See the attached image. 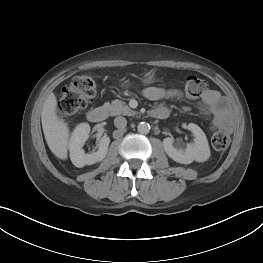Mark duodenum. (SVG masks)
<instances>
[{
  "instance_id": "obj_1",
  "label": "duodenum",
  "mask_w": 263,
  "mask_h": 263,
  "mask_svg": "<svg viewBox=\"0 0 263 263\" xmlns=\"http://www.w3.org/2000/svg\"><path fill=\"white\" fill-rule=\"evenodd\" d=\"M154 117L158 119H165L168 117L169 112L167 109L155 110ZM107 117V109L105 107H95L87 112V119L92 123L103 122Z\"/></svg>"
}]
</instances>
